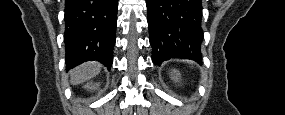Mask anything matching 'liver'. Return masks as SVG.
I'll use <instances>...</instances> for the list:
<instances>
[{
    "mask_svg": "<svg viewBox=\"0 0 285 115\" xmlns=\"http://www.w3.org/2000/svg\"><path fill=\"white\" fill-rule=\"evenodd\" d=\"M101 70V64L97 62H88L82 64L71 70V84L77 85L86 80H89L99 74Z\"/></svg>",
    "mask_w": 285,
    "mask_h": 115,
    "instance_id": "1",
    "label": "liver"
}]
</instances>
